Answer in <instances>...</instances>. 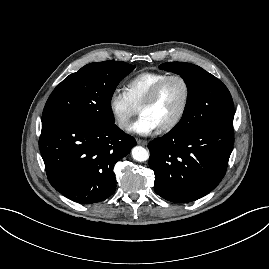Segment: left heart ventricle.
Segmentation results:
<instances>
[{"mask_svg":"<svg viewBox=\"0 0 269 269\" xmlns=\"http://www.w3.org/2000/svg\"><path fill=\"white\" fill-rule=\"evenodd\" d=\"M185 99V88L181 81L171 80L161 90L155 102L141 110L158 128L170 123L180 112Z\"/></svg>","mask_w":269,"mask_h":269,"instance_id":"1","label":"left heart ventricle"}]
</instances>
